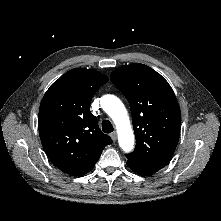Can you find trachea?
<instances>
[{
    "label": "trachea",
    "mask_w": 221,
    "mask_h": 221,
    "mask_svg": "<svg viewBox=\"0 0 221 221\" xmlns=\"http://www.w3.org/2000/svg\"><path fill=\"white\" fill-rule=\"evenodd\" d=\"M102 130L105 133H111L113 131V125L109 120H104L102 122Z\"/></svg>",
    "instance_id": "3493384b"
}]
</instances>
